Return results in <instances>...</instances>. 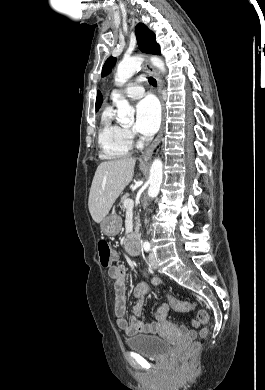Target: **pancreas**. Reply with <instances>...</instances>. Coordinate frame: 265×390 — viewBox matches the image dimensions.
<instances>
[{
	"label": "pancreas",
	"instance_id": "obj_1",
	"mask_svg": "<svg viewBox=\"0 0 265 390\" xmlns=\"http://www.w3.org/2000/svg\"><path fill=\"white\" fill-rule=\"evenodd\" d=\"M126 199H127V196H123V197L121 198V204H122L121 209H122V210L125 209L124 201H125ZM128 238H132V234H129V235H128Z\"/></svg>",
	"mask_w": 265,
	"mask_h": 390
}]
</instances>
